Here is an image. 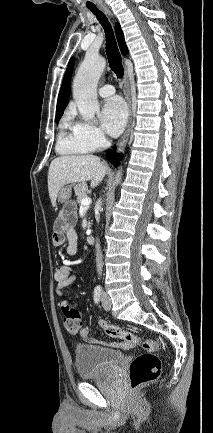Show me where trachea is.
<instances>
[{
    "mask_svg": "<svg viewBox=\"0 0 213 433\" xmlns=\"http://www.w3.org/2000/svg\"><path fill=\"white\" fill-rule=\"evenodd\" d=\"M89 9L93 12V14L96 15L98 21L104 28L106 36V53L109 61V66L118 78H122L124 74V69L112 26L110 25L106 16L101 11H99L97 7L93 6L89 7Z\"/></svg>",
    "mask_w": 213,
    "mask_h": 433,
    "instance_id": "3493384b",
    "label": "trachea"
}]
</instances>
